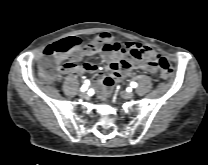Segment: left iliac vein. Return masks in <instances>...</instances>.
Segmentation results:
<instances>
[{
    "label": "left iliac vein",
    "instance_id": "left-iliac-vein-1",
    "mask_svg": "<svg viewBox=\"0 0 208 165\" xmlns=\"http://www.w3.org/2000/svg\"><path fill=\"white\" fill-rule=\"evenodd\" d=\"M121 96L124 99H130L134 97V93L133 92H128V91H121Z\"/></svg>",
    "mask_w": 208,
    "mask_h": 165
}]
</instances>
